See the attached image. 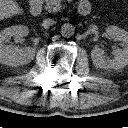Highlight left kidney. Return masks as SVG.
Segmentation results:
<instances>
[{
	"mask_svg": "<svg viewBox=\"0 0 128 128\" xmlns=\"http://www.w3.org/2000/svg\"><path fill=\"white\" fill-rule=\"evenodd\" d=\"M106 33L113 40L122 41L124 48L114 50V58L110 59L104 55V50L94 47L91 51L93 64L103 69H121L128 65V32L117 26H109Z\"/></svg>",
	"mask_w": 128,
	"mask_h": 128,
	"instance_id": "obj_1",
	"label": "left kidney"
}]
</instances>
